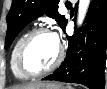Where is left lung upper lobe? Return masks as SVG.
<instances>
[{"label":"left lung upper lobe","instance_id":"5c2ea615","mask_svg":"<svg viewBox=\"0 0 107 89\" xmlns=\"http://www.w3.org/2000/svg\"><path fill=\"white\" fill-rule=\"evenodd\" d=\"M59 0H13L11 9L6 17L7 33L5 49H7L19 32L32 20L47 14L54 18L62 29L67 19L58 13Z\"/></svg>","mask_w":107,"mask_h":89}]
</instances>
